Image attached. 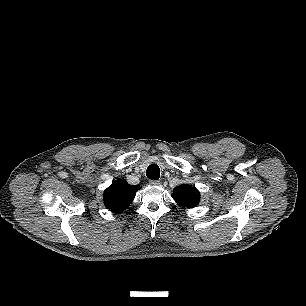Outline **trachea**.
I'll list each match as a JSON object with an SVG mask.
<instances>
[{
    "mask_svg": "<svg viewBox=\"0 0 306 306\" xmlns=\"http://www.w3.org/2000/svg\"><path fill=\"white\" fill-rule=\"evenodd\" d=\"M146 175L148 178L152 180H156L160 177V169L158 165L156 164H151L146 171Z\"/></svg>",
    "mask_w": 306,
    "mask_h": 306,
    "instance_id": "trachea-1",
    "label": "trachea"
}]
</instances>
